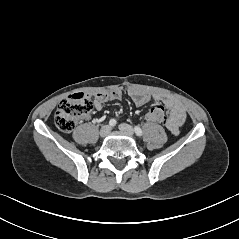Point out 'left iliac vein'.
<instances>
[{
  "label": "left iliac vein",
  "instance_id": "obj_1",
  "mask_svg": "<svg viewBox=\"0 0 239 239\" xmlns=\"http://www.w3.org/2000/svg\"><path fill=\"white\" fill-rule=\"evenodd\" d=\"M119 129H120V131H122V132H124V133H126L128 135H133L134 134L133 127L128 125V124H125V123L120 124L119 125Z\"/></svg>",
  "mask_w": 239,
  "mask_h": 239
}]
</instances>
